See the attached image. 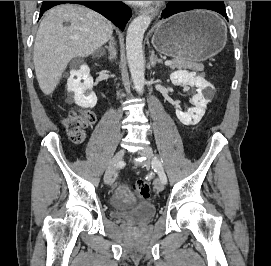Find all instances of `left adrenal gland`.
I'll list each match as a JSON object with an SVG mask.
<instances>
[{
	"label": "left adrenal gland",
	"mask_w": 271,
	"mask_h": 266,
	"mask_svg": "<svg viewBox=\"0 0 271 266\" xmlns=\"http://www.w3.org/2000/svg\"><path fill=\"white\" fill-rule=\"evenodd\" d=\"M163 64V61L159 58H157V56L155 55L154 50H151V55H150V64L152 67H155L156 64Z\"/></svg>",
	"instance_id": "a2214340"
}]
</instances>
